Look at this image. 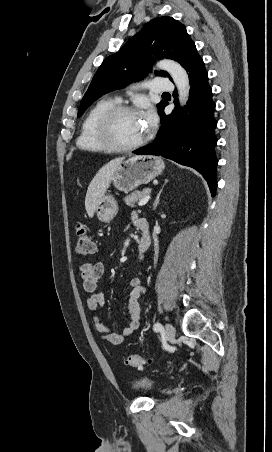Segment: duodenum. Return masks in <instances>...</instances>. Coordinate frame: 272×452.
I'll list each match as a JSON object with an SVG mask.
<instances>
[{
    "instance_id": "1",
    "label": "duodenum",
    "mask_w": 272,
    "mask_h": 452,
    "mask_svg": "<svg viewBox=\"0 0 272 452\" xmlns=\"http://www.w3.org/2000/svg\"><path fill=\"white\" fill-rule=\"evenodd\" d=\"M136 226L141 231V238L138 244V254L142 256L151 244L149 222L146 218H140L136 222Z\"/></svg>"
}]
</instances>
